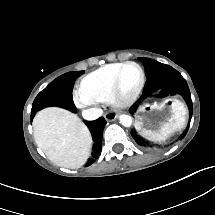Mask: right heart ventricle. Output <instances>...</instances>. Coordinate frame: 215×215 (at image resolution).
<instances>
[{
	"label": "right heart ventricle",
	"mask_w": 215,
	"mask_h": 215,
	"mask_svg": "<svg viewBox=\"0 0 215 215\" xmlns=\"http://www.w3.org/2000/svg\"><path fill=\"white\" fill-rule=\"evenodd\" d=\"M120 63L103 65L89 74L82 85L90 100L101 104L107 100L116 79Z\"/></svg>",
	"instance_id": "obj_1"
}]
</instances>
